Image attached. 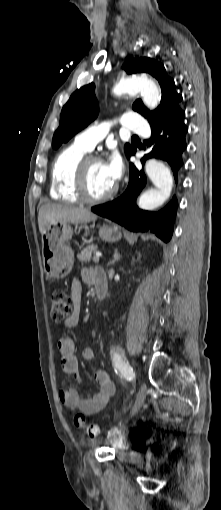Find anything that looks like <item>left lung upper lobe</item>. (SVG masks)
<instances>
[{
	"label": "left lung upper lobe",
	"mask_w": 221,
	"mask_h": 510,
	"mask_svg": "<svg viewBox=\"0 0 221 510\" xmlns=\"http://www.w3.org/2000/svg\"><path fill=\"white\" fill-rule=\"evenodd\" d=\"M123 68L128 74L149 73L155 77L162 90L161 103L158 108L150 112L141 100H136L133 110L143 115L150 122L158 121L170 114L182 112L179 102L182 100L175 90L174 80L168 77L164 66L150 58H136L126 61ZM99 113V103L95 96V84L91 83L76 90L64 105L60 125L55 131L52 147L57 149L62 143L67 142L77 132L90 124ZM135 150L130 144L125 145V153L129 156Z\"/></svg>",
	"instance_id": "left-lung-upper-lobe-1"
}]
</instances>
